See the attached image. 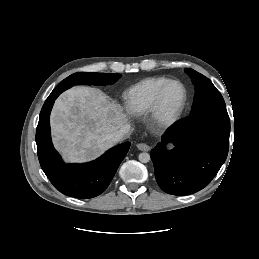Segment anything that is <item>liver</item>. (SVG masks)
Here are the masks:
<instances>
[{
  "mask_svg": "<svg viewBox=\"0 0 259 259\" xmlns=\"http://www.w3.org/2000/svg\"><path fill=\"white\" fill-rule=\"evenodd\" d=\"M55 148L67 162L96 159L113 143L106 136L129 126L122 108L99 89L79 86L55 101L51 118Z\"/></svg>",
  "mask_w": 259,
  "mask_h": 259,
  "instance_id": "1",
  "label": "liver"
}]
</instances>
